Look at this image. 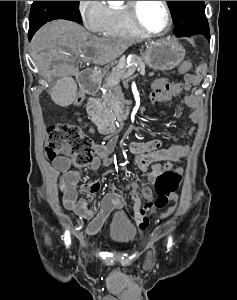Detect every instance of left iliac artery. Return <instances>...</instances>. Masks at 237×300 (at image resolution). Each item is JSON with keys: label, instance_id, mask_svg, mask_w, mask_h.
<instances>
[{"label": "left iliac artery", "instance_id": "44dca946", "mask_svg": "<svg viewBox=\"0 0 237 300\" xmlns=\"http://www.w3.org/2000/svg\"><path fill=\"white\" fill-rule=\"evenodd\" d=\"M172 246V238L171 237H169V240H168V245H167V247L168 248H170Z\"/></svg>", "mask_w": 237, "mask_h": 300}]
</instances>
